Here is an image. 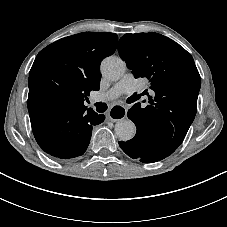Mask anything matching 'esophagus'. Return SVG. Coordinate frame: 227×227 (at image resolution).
Wrapping results in <instances>:
<instances>
[{
    "label": "esophagus",
    "mask_w": 227,
    "mask_h": 227,
    "mask_svg": "<svg viewBox=\"0 0 227 227\" xmlns=\"http://www.w3.org/2000/svg\"><path fill=\"white\" fill-rule=\"evenodd\" d=\"M127 109L123 105H113L108 111V118L112 121H119L126 117Z\"/></svg>",
    "instance_id": "1"
}]
</instances>
